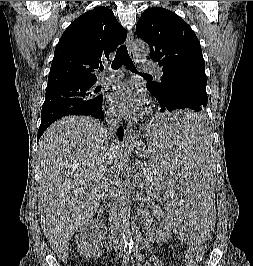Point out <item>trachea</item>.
<instances>
[{"label":"trachea","mask_w":253,"mask_h":266,"mask_svg":"<svg viewBox=\"0 0 253 266\" xmlns=\"http://www.w3.org/2000/svg\"><path fill=\"white\" fill-rule=\"evenodd\" d=\"M123 64L130 71H132L134 73H138V71L136 70V67L134 66V64H133V62H132V60L128 54L126 45H121L117 49L114 61L112 62V68L113 69H119ZM101 69L103 70V67ZM140 74L149 76L148 74H145V73H140Z\"/></svg>","instance_id":"obj_1"}]
</instances>
